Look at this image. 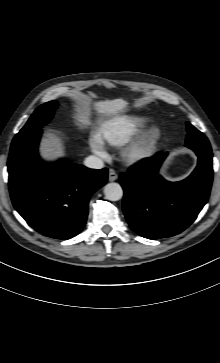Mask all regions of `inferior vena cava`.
<instances>
[{
	"instance_id": "obj_1",
	"label": "inferior vena cava",
	"mask_w": 220,
	"mask_h": 363,
	"mask_svg": "<svg viewBox=\"0 0 220 363\" xmlns=\"http://www.w3.org/2000/svg\"><path fill=\"white\" fill-rule=\"evenodd\" d=\"M84 164L86 167L92 168V169H101L104 167L103 161L96 156H88L84 160Z\"/></svg>"
}]
</instances>
